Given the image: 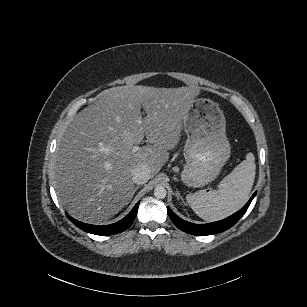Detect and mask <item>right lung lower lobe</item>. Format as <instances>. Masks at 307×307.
<instances>
[{
  "instance_id": "1",
  "label": "right lung lower lobe",
  "mask_w": 307,
  "mask_h": 307,
  "mask_svg": "<svg viewBox=\"0 0 307 307\" xmlns=\"http://www.w3.org/2000/svg\"><path fill=\"white\" fill-rule=\"evenodd\" d=\"M138 206H139V202L134 206V208L131 210V212L126 217H124L122 220L114 224H111V225H104V226L90 225V224H85L80 221H77L74 218L70 217L69 215H67V217L77 227H79L80 229L88 233L107 236V235L117 234V233L123 232L126 229H128L136 217Z\"/></svg>"
}]
</instances>
